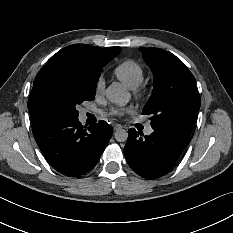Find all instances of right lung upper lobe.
<instances>
[{
	"mask_svg": "<svg viewBox=\"0 0 233 233\" xmlns=\"http://www.w3.org/2000/svg\"><path fill=\"white\" fill-rule=\"evenodd\" d=\"M121 52V47L100 48L85 44L67 46L54 54L37 74L31 95L28 100V109L32 125L37 124L33 115L35 93L45 76L55 70L77 74L92 78L100 74L101 69Z\"/></svg>",
	"mask_w": 233,
	"mask_h": 233,
	"instance_id": "right-lung-upper-lobe-1",
	"label": "right lung upper lobe"
}]
</instances>
